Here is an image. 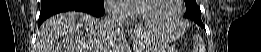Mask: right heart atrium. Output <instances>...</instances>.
Returning a JSON list of instances; mask_svg holds the SVG:
<instances>
[{
    "mask_svg": "<svg viewBox=\"0 0 261 52\" xmlns=\"http://www.w3.org/2000/svg\"><path fill=\"white\" fill-rule=\"evenodd\" d=\"M124 3L125 0H106L104 7L109 16L113 18H128L130 13Z\"/></svg>",
    "mask_w": 261,
    "mask_h": 52,
    "instance_id": "d8ad5b80",
    "label": "right heart atrium"
}]
</instances>
